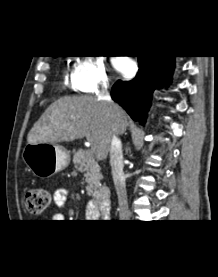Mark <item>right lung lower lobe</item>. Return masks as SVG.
<instances>
[{
    "mask_svg": "<svg viewBox=\"0 0 218 277\" xmlns=\"http://www.w3.org/2000/svg\"><path fill=\"white\" fill-rule=\"evenodd\" d=\"M139 70L128 82L117 81L111 90L118 102L135 121L146 122L153 91L160 83L170 84L175 56H138Z\"/></svg>",
    "mask_w": 218,
    "mask_h": 277,
    "instance_id": "obj_1",
    "label": "right lung lower lobe"
}]
</instances>
